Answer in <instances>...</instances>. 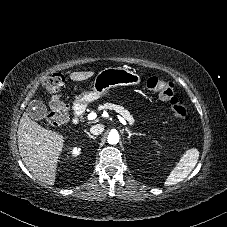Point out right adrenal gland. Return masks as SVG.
<instances>
[{"label": "right adrenal gland", "mask_w": 227, "mask_h": 227, "mask_svg": "<svg viewBox=\"0 0 227 227\" xmlns=\"http://www.w3.org/2000/svg\"><path fill=\"white\" fill-rule=\"evenodd\" d=\"M85 132H86V134L89 136V138L94 139V140L97 138V137L91 135L89 132H87V131H85Z\"/></svg>", "instance_id": "2a0ac1e0"}]
</instances>
